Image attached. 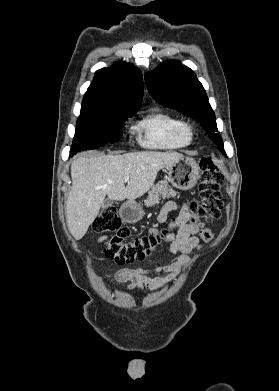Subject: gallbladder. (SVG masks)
<instances>
[{
  "mask_svg": "<svg viewBox=\"0 0 279 391\" xmlns=\"http://www.w3.org/2000/svg\"><path fill=\"white\" fill-rule=\"evenodd\" d=\"M113 204V201L110 200V199H106L103 204H102V208H107L108 206H111Z\"/></svg>",
  "mask_w": 279,
  "mask_h": 391,
  "instance_id": "obj_1",
  "label": "gallbladder"
}]
</instances>
